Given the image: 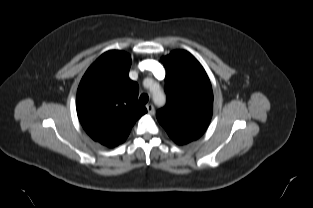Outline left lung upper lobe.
I'll return each mask as SVG.
<instances>
[{
	"instance_id": "5c2ea615",
	"label": "left lung upper lobe",
	"mask_w": 313,
	"mask_h": 208,
	"mask_svg": "<svg viewBox=\"0 0 313 208\" xmlns=\"http://www.w3.org/2000/svg\"><path fill=\"white\" fill-rule=\"evenodd\" d=\"M166 68V105L156 112L159 123L179 145L198 139L212 117L213 92L209 78L193 55L176 50L162 57Z\"/></svg>"
}]
</instances>
